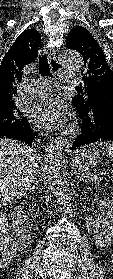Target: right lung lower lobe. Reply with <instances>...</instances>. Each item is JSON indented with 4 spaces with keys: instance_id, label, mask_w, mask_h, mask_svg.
<instances>
[{
    "instance_id": "right-lung-lower-lobe-1",
    "label": "right lung lower lobe",
    "mask_w": 113,
    "mask_h": 279,
    "mask_svg": "<svg viewBox=\"0 0 113 279\" xmlns=\"http://www.w3.org/2000/svg\"><path fill=\"white\" fill-rule=\"evenodd\" d=\"M35 136H37V133L29 127L28 120L20 125L0 129V138L17 139L29 145H32Z\"/></svg>"
}]
</instances>
